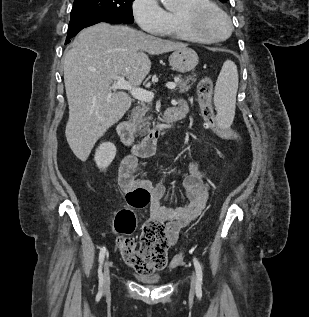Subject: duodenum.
<instances>
[{
  "label": "duodenum",
  "instance_id": "410a0bca",
  "mask_svg": "<svg viewBox=\"0 0 309 317\" xmlns=\"http://www.w3.org/2000/svg\"><path fill=\"white\" fill-rule=\"evenodd\" d=\"M180 118L176 107L166 109L159 121L148 131L146 136L139 142H134L133 133L126 121L117 125V134L122 143L131 149V153L138 157H149L156 151L158 139L169 124Z\"/></svg>",
  "mask_w": 309,
  "mask_h": 317
}]
</instances>
